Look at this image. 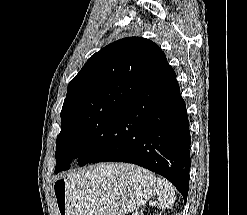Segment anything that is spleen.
<instances>
[{"instance_id":"spleen-1","label":"spleen","mask_w":247,"mask_h":215,"mask_svg":"<svg viewBox=\"0 0 247 215\" xmlns=\"http://www.w3.org/2000/svg\"><path fill=\"white\" fill-rule=\"evenodd\" d=\"M156 186L160 208L165 209L173 206L176 196L172 184L164 178H157Z\"/></svg>"}]
</instances>
